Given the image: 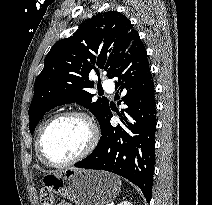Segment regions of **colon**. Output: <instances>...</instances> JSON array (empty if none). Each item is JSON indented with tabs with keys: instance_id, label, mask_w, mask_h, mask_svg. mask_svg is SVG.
<instances>
[{
	"instance_id": "5ec220e1",
	"label": "colon",
	"mask_w": 212,
	"mask_h": 205,
	"mask_svg": "<svg viewBox=\"0 0 212 205\" xmlns=\"http://www.w3.org/2000/svg\"><path fill=\"white\" fill-rule=\"evenodd\" d=\"M40 202L41 205H53L54 196L52 192L46 188L43 189L40 194Z\"/></svg>"
}]
</instances>
